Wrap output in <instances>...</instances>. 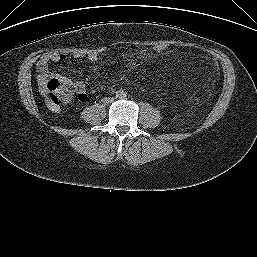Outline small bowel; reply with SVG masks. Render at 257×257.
<instances>
[{"label": "small bowel", "instance_id": "obj_1", "mask_svg": "<svg viewBox=\"0 0 257 257\" xmlns=\"http://www.w3.org/2000/svg\"><path fill=\"white\" fill-rule=\"evenodd\" d=\"M66 59V55L63 53L50 52L44 54L37 63V71H38V83L40 85L44 84L51 77L59 80L63 85L71 88L75 93H77L80 101H87L88 97L86 95L85 85L80 80H74L67 76L61 74H53L50 71V64L64 61ZM90 61H96L97 55L90 54L88 56Z\"/></svg>", "mask_w": 257, "mask_h": 257}]
</instances>
